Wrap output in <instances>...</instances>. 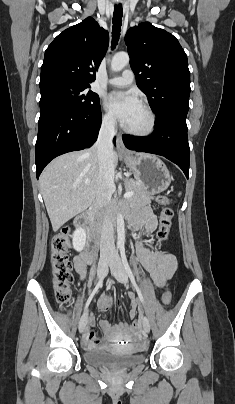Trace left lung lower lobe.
Listing matches in <instances>:
<instances>
[{"label": "left lung lower lobe", "instance_id": "1", "mask_svg": "<svg viewBox=\"0 0 235 404\" xmlns=\"http://www.w3.org/2000/svg\"><path fill=\"white\" fill-rule=\"evenodd\" d=\"M124 145L138 152L161 155L177 164L189 176L190 149L186 117L172 115L155 122V131L147 137L122 136Z\"/></svg>", "mask_w": 235, "mask_h": 404}]
</instances>
